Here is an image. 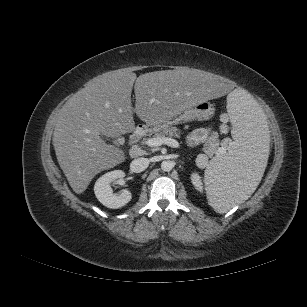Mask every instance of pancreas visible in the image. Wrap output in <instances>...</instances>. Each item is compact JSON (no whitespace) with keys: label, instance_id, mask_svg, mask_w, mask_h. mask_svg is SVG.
Instances as JSON below:
<instances>
[{"label":"pancreas","instance_id":"cf45deb5","mask_svg":"<svg viewBox=\"0 0 307 307\" xmlns=\"http://www.w3.org/2000/svg\"><path fill=\"white\" fill-rule=\"evenodd\" d=\"M179 134H180V130L177 128V127H171V126H168V127H164L163 129L157 131L154 135H153V138L155 137H165V136H168V137H179ZM151 139V138H144L143 141H142V144H147V141ZM218 148V142H209L208 145H206L204 148H203V151L208 155V156H211L213 155V153H215V151L217 150Z\"/></svg>","mask_w":307,"mask_h":307}]
</instances>
